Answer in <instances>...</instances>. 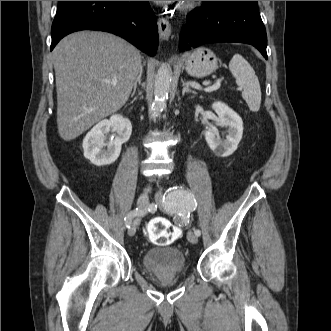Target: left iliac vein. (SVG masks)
Here are the masks:
<instances>
[{"mask_svg": "<svg viewBox=\"0 0 331 331\" xmlns=\"http://www.w3.org/2000/svg\"><path fill=\"white\" fill-rule=\"evenodd\" d=\"M187 239L192 244H196L198 242V236L193 231H188Z\"/></svg>", "mask_w": 331, "mask_h": 331, "instance_id": "left-iliac-vein-1", "label": "left iliac vein"}]
</instances>
